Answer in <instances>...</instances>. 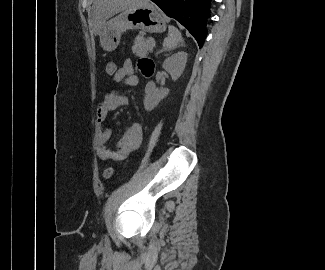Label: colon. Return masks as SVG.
<instances>
[{
	"label": "colon",
	"mask_w": 325,
	"mask_h": 270,
	"mask_svg": "<svg viewBox=\"0 0 325 270\" xmlns=\"http://www.w3.org/2000/svg\"><path fill=\"white\" fill-rule=\"evenodd\" d=\"M118 67L116 65V63L114 61H108L106 66H105V73L108 77L114 78L116 73H117ZM114 174V170L113 168H106L104 169L102 175L103 178L105 179H109L110 177H112V175Z\"/></svg>",
	"instance_id": "obj_1"
}]
</instances>
